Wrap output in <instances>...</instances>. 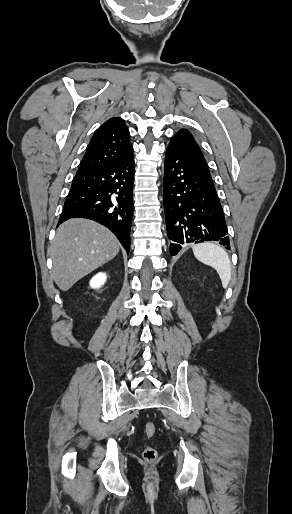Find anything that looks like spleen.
<instances>
[{"label": "spleen", "instance_id": "3e777b00", "mask_svg": "<svg viewBox=\"0 0 292 514\" xmlns=\"http://www.w3.org/2000/svg\"><path fill=\"white\" fill-rule=\"evenodd\" d=\"M193 254L199 262H203L206 266H212L220 276L223 288H227L231 280V262L229 256L221 246L217 244H195L192 248Z\"/></svg>", "mask_w": 292, "mask_h": 514}]
</instances>
